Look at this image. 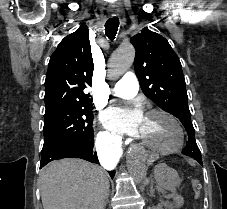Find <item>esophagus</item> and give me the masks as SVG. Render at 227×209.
<instances>
[{"instance_id": "34e87169", "label": "esophagus", "mask_w": 227, "mask_h": 209, "mask_svg": "<svg viewBox=\"0 0 227 209\" xmlns=\"http://www.w3.org/2000/svg\"><path fill=\"white\" fill-rule=\"evenodd\" d=\"M113 19L116 17L114 14L111 16ZM155 158L153 151H144V156L142 157L141 163L148 164L151 166L152 160Z\"/></svg>"}]
</instances>
